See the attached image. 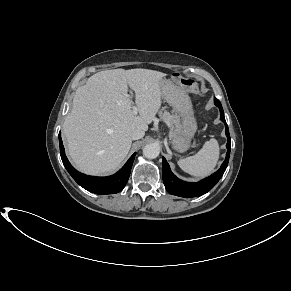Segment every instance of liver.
<instances>
[{
  "label": "liver",
  "instance_id": "1",
  "mask_svg": "<svg viewBox=\"0 0 291 291\" xmlns=\"http://www.w3.org/2000/svg\"><path fill=\"white\" fill-rule=\"evenodd\" d=\"M164 77V73L148 69L105 70L76 90L63 134L77 169L101 175L121 165L133 131H147L161 107ZM128 86L135 92L138 116L132 112Z\"/></svg>",
  "mask_w": 291,
  "mask_h": 291
}]
</instances>
